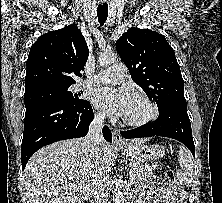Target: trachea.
<instances>
[{"mask_svg":"<svg viewBox=\"0 0 222 203\" xmlns=\"http://www.w3.org/2000/svg\"><path fill=\"white\" fill-rule=\"evenodd\" d=\"M97 15L100 25H104L108 17V5H99L97 8Z\"/></svg>","mask_w":222,"mask_h":203,"instance_id":"1","label":"trachea"}]
</instances>
